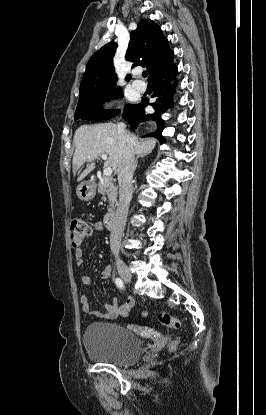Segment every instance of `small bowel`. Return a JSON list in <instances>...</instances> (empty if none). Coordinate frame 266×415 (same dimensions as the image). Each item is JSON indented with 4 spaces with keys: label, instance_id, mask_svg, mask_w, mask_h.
Here are the masks:
<instances>
[{
    "label": "small bowel",
    "instance_id": "c3829d8e",
    "mask_svg": "<svg viewBox=\"0 0 266 415\" xmlns=\"http://www.w3.org/2000/svg\"><path fill=\"white\" fill-rule=\"evenodd\" d=\"M94 229L101 230L102 229V224L100 222H96L94 224ZM75 261H76V264L78 266H81L84 263V254H83V250L81 248H76L75 249ZM110 274H111V267L106 266L101 271L100 277L102 279H106L110 276ZM81 282L84 285H89L91 283V279H90L89 276L83 275L81 277ZM80 303H81L82 310L85 313L89 314V315H92V316L97 317V318H103V319H115L120 315L125 316V315L128 314L129 309L133 305V299L131 297H129L127 299L126 303L124 305L120 306L118 299L114 298L111 303L105 304V311H103V312H101V311H91L89 299L86 295H82L80 297Z\"/></svg>",
    "mask_w": 266,
    "mask_h": 415
}]
</instances>
